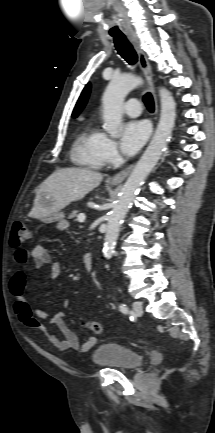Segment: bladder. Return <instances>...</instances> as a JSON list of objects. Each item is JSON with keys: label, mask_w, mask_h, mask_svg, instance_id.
Masks as SVG:
<instances>
[{"label": "bladder", "mask_w": 215, "mask_h": 433, "mask_svg": "<svg viewBox=\"0 0 215 433\" xmlns=\"http://www.w3.org/2000/svg\"><path fill=\"white\" fill-rule=\"evenodd\" d=\"M92 361L97 366L130 371L143 364V357L126 346L106 343L94 350Z\"/></svg>", "instance_id": "31cf9c89"}]
</instances>
